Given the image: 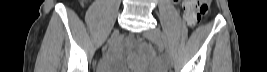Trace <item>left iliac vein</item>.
Here are the masks:
<instances>
[{
	"instance_id": "4c4485c4",
	"label": "left iliac vein",
	"mask_w": 267,
	"mask_h": 72,
	"mask_svg": "<svg viewBox=\"0 0 267 72\" xmlns=\"http://www.w3.org/2000/svg\"><path fill=\"white\" fill-rule=\"evenodd\" d=\"M144 35L146 38L155 42L158 45L160 51L163 53V58H164L165 63L167 65H170L171 59H170L169 54L166 51L165 42H164V39H163V36L160 30L158 28H152V29L145 31Z\"/></svg>"
}]
</instances>
